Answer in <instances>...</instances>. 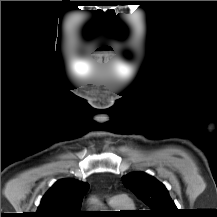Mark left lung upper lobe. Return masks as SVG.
<instances>
[{"mask_svg":"<svg viewBox=\"0 0 217 217\" xmlns=\"http://www.w3.org/2000/svg\"><path fill=\"white\" fill-rule=\"evenodd\" d=\"M122 182L150 207V217L176 216L178 209L168 190L154 177L144 172H133L123 176Z\"/></svg>","mask_w":217,"mask_h":217,"instance_id":"1","label":"left lung upper lobe"}]
</instances>
